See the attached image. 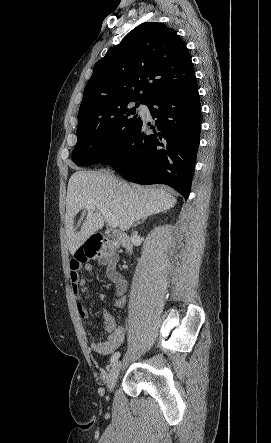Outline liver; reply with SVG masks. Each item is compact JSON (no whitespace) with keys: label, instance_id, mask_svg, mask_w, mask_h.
I'll list each match as a JSON object with an SVG mask.
<instances>
[{"label":"liver","instance_id":"1","mask_svg":"<svg viewBox=\"0 0 271 443\" xmlns=\"http://www.w3.org/2000/svg\"><path fill=\"white\" fill-rule=\"evenodd\" d=\"M90 202L105 206L117 218L119 229L127 231L133 222L170 210L177 200L166 190L145 188L138 184L128 186L111 174L90 170L75 172L68 182L65 223L67 247L72 255L92 233H96L104 225V218L97 208L90 212L88 210L86 218H81L83 222L74 225V218Z\"/></svg>","mask_w":271,"mask_h":443}]
</instances>
